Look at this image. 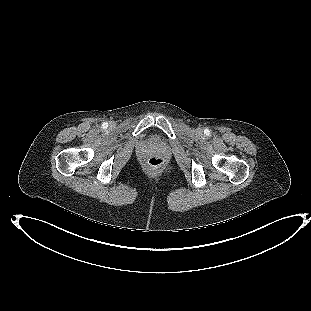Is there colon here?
Segmentation results:
<instances>
[{"instance_id": "5ec220e1", "label": "colon", "mask_w": 311, "mask_h": 311, "mask_svg": "<svg viewBox=\"0 0 311 311\" xmlns=\"http://www.w3.org/2000/svg\"><path fill=\"white\" fill-rule=\"evenodd\" d=\"M164 164V160L159 157H152L147 162V165L151 170H160L164 167Z\"/></svg>"}]
</instances>
